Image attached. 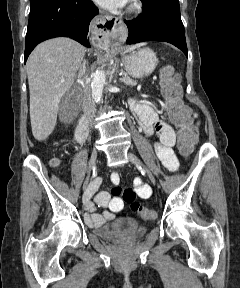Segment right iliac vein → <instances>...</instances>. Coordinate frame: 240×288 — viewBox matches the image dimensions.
<instances>
[{"mask_svg":"<svg viewBox=\"0 0 240 288\" xmlns=\"http://www.w3.org/2000/svg\"><path fill=\"white\" fill-rule=\"evenodd\" d=\"M97 155H98V152L96 149L93 150L92 154H91V158L89 160V164H88V175L84 181V184H83V190L85 191L88 186H89V182H90V174L95 166V162H96V159H97Z\"/></svg>","mask_w":240,"mask_h":288,"instance_id":"63e3f726","label":"right iliac vein"}]
</instances>
